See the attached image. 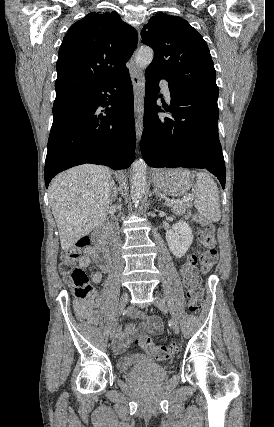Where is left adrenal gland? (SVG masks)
Returning a JSON list of instances; mask_svg holds the SVG:
<instances>
[{
	"instance_id": "obj_1",
	"label": "left adrenal gland",
	"mask_w": 274,
	"mask_h": 427,
	"mask_svg": "<svg viewBox=\"0 0 274 427\" xmlns=\"http://www.w3.org/2000/svg\"><path fill=\"white\" fill-rule=\"evenodd\" d=\"M153 194H155V196H157V198H159V202H160V200H162L163 196H162V194H160V192H158L157 188H154Z\"/></svg>"
}]
</instances>
